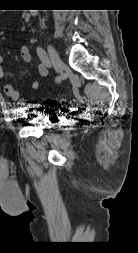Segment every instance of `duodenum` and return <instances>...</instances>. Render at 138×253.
<instances>
[{"instance_id": "obj_1", "label": "duodenum", "mask_w": 138, "mask_h": 253, "mask_svg": "<svg viewBox=\"0 0 138 253\" xmlns=\"http://www.w3.org/2000/svg\"><path fill=\"white\" fill-rule=\"evenodd\" d=\"M30 15L34 16V15H35V12H34V11H33V12H31V13H30Z\"/></svg>"}]
</instances>
